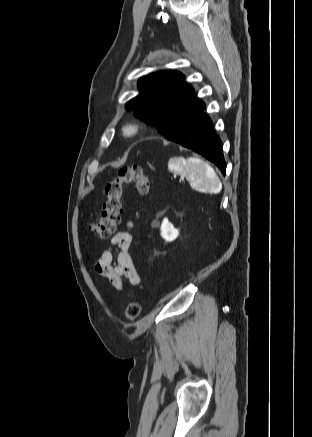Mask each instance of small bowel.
Masks as SVG:
<instances>
[{
  "mask_svg": "<svg viewBox=\"0 0 312 437\" xmlns=\"http://www.w3.org/2000/svg\"><path fill=\"white\" fill-rule=\"evenodd\" d=\"M133 227L134 223L128 221L126 229L119 231L112 238L111 243L116 247L115 257L112 249H107L102 252L94 264L95 271L108 278L118 290L122 289L125 282L131 285L140 283L139 274L130 254L131 229Z\"/></svg>",
  "mask_w": 312,
  "mask_h": 437,
  "instance_id": "obj_1",
  "label": "small bowel"
}]
</instances>
